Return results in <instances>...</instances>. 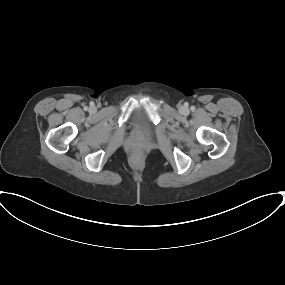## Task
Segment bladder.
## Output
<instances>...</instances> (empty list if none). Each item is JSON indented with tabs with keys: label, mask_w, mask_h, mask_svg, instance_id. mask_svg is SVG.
<instances>
[{
	"label": "bladder",
	"mask_w": 285,
	"mask_h": 285,
	"mask_svg": "<svg viewBox=\"0 0 285 285\" xmlns=\"http://www.w3.org/2000/svg\"><path fill=\"white\" fill-rule=\"evenodd\" d=\"M132 121L139 134L147 135L150 132V124L144 111L137 109L134 111Z\"/></svg>",
	"instance_id": "bladder-1"
}]
</instances>
